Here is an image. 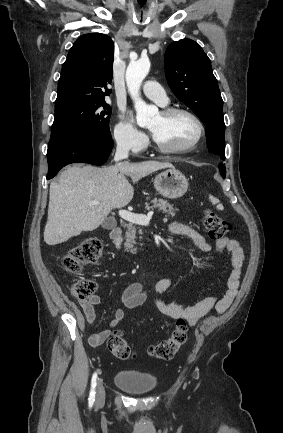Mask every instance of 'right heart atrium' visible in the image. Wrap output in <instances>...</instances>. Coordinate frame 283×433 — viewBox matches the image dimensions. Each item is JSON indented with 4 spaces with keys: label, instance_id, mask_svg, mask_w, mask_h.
Here are the masks:
<instances>
[{
    "label": "right heart atrium",
    "instance_id": "right-heart-atrium-1",
    "mask_svg": "<svg viewBox=\"0 0 283 433\" xmlns=\"http://www.w3.org/2000/svg\"><path fill=\"white\" fill-rule=\"evenodd\" d=\"M112 139L119 150L138 153L147 143L146 136L139 132L126 112H117L113 120Z\"/></svg>",
    "mask_w": 283,
    "mask_h": 433
}]
</instances>
